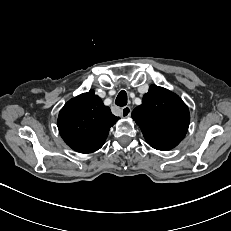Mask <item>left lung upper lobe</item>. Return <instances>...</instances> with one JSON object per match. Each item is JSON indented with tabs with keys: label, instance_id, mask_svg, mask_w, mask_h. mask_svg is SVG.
I'll return each mask as SVG.
<instances>
[{
	"label": "left lung upper lobe",
	"instance_id": "1",
	"mask_svg": "<svg viewBox=\"0 0 231 231\" xmlns=\"http://www.w3.org/2000/svg\"><path fill=\"white\" fill-rule=\"evenodd\" d=\"M132 118L141 128L150 146L167 151L184 138L190 115L187 105L175 93L151 85L142 104L132 112Z\"/></svg>",
	"mask_w": 231,
	"mask_h": 231
}]
</instances>
